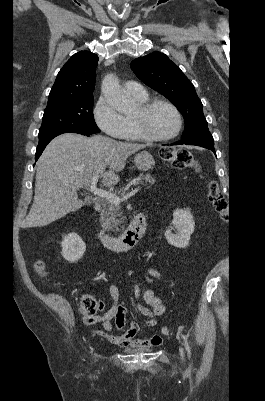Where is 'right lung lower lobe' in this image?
I'll return each mask as SVG.
<instances>
[{
	"label": "right lung lower lobe",
	"instance_id": "1",
	"mask_svg": "<svg viewBox=\"0 0 265 401\" xmlns=\"http://www.w3.org/2000/svg\"><path fill=\"white\" fill-rule=\"evenodd\" d=\"M63 133H68V132L57 131V132L52 133V134L49 135L48 137H46V138H44V139H42V140H39V144H38L37 150H36L35 160H36V161L38 160V158H39L40 155L42 154L43 150L45 149L46 145H47L53 138H55L56 136H58V135H60V134H63ZM83 135L89 136L88 134H83Z\"/></svg>",
	"mask_w": 265,
	"mask_h": 401
}]
</instances>
